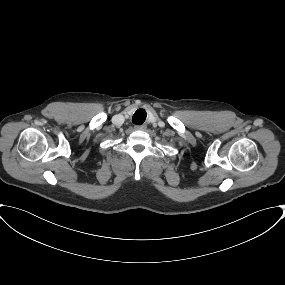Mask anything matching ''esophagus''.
<instances>
[{
  "label": "esophagus",
  "instance_id": "34e87169",
  "mask_svg": "<svg viewBox=\"0 0 285 285\" xmlns=\"http://www.w3.org/2000/svg\"><path fill=\"white\" fill-rule=\"evenodd\" d=\"M146 128H147V126L145 124H143V125H136L135 126L136 130H145Z\"/></svg>",
  "mask_w": 285,
  "mask_h": 285
}]
</instances>
